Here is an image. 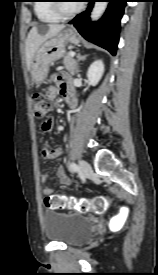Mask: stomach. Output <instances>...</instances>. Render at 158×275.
<instances>
[{
  "instance_id": "1",
  "label": "stomach",
  "mask_w": 158,
  "mask_h": 275,
  "mask_svg": "<svg viewBox=\"0 0 158 275\" xmlns=\"http://www.w3.org/2000/svg\"><path fill=\"white\" fill-rule=\"evenodd\" d=\"M79 44L80 38L72 28L64 29L45 41L37 50L30 67L32 81L40 85L47 77L50 66L66 54V46Z\"/></svg>"
}]
</instances>
